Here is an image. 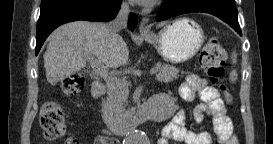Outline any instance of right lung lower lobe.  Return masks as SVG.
<instances>
[{
	"mask_svg": "<svg viewBox=\"0 0 273 144\" xmlns=\"http://www.w3.org/2000/svg\"><path fill=\"white\" fill-rule=\"evenodd\" d=\"M122 0H42L37 24L36 55L47 36L58 26L77 20L109 21L120 8ZM137 18L129 17L128 26L134 30Z\"/></svg>",
	"mask_w": 273,
	"mask_h": 144,
	"instance_id": "1",
	"label": "right lung lower lobe"
}]
</instances>
